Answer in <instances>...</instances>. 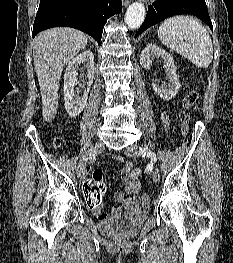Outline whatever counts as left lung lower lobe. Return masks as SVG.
Listing matches in <instances>:
<instances>
[{
  "instance_id": "left-lung-lower-lobe-1",
  "label": "left lung lower lobe",
  "mask_w": 233,
  "mask_h": 263,
  "mask_svg": "<svg viewBox=\"0 0 233 263\" xmlns=\"http://www.w3.org/2000/svg\"><path fill=\"white\" fill-rule=\"evenodd\" d=\"M192 14L202 19L213 31L205 0H158L148 7L146 18L136 33V37L147 28L163 21L165 18Z\"/></svg>"
}]
</instances>
